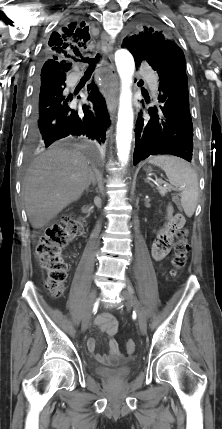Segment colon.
Wrapping results in <instances>:
<instances>
[{
	"mask_svg": "<svg viewBox=\"0 0 222 429\" xmlns=\"http://www.w3.org/2000/svg\"><path fill=\"white\" fill-rule=\"evenodd\" d=\"M175 205L180 206L178 196L173 197ZM83 227V220L71 215L63 216L58 222L50 226L45 234L40 238L36 247V253L42 268L48 274L47 288L58 297L63 292V283L67 277L68 266L63 258L62 250L72 240H74ZM187 230L178 231V240L174 247V256L172 259L173 274L182 270L187 264V254L189 244L187 241ZM128 353H133L136 349L134 340L129 339L126 342Z\"/></svg>",
	"mask_w": 222,
	"mask_h": 429,
	"instance_id": "obj_1",
	"label": "colon"
}]
</instances>
